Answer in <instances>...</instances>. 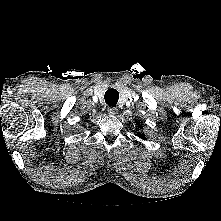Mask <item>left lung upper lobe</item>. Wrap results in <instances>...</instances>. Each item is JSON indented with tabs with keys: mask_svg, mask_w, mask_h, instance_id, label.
I'll return each mask as SVG.
<instances>
[{
	"mask_svg": "<svg viewBox=\"0 0 221 221\" xmlns=\"http://www.w3.org/2000/svg\"><path fill=\"white\" fill-rule=\"evenodd\" d=\"M137 136L143 140H146L145 134L137 133Z\"/></svg>",
	"mask_w": 221,
	"mask_h": 221,
	"instance_id": "1",
	"label": "left lung upper lobe"
}]
</instances>
